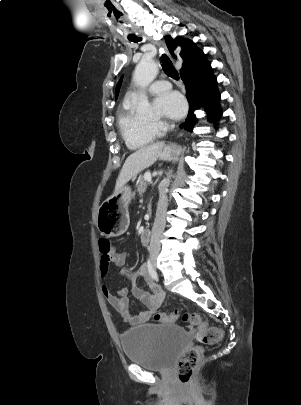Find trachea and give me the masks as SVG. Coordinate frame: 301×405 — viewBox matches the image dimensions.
Segmentation results:
<instances>
[{
  "label": "trachea",
  "mask_w": 301,
  "mask_h": 405,
  "mask_svg": "<svg viewBox=\"0 0 301 405\" xmlns=\"http://www.w3.org/2000/svg\"><path fill=\"white\" fill-rule=\"evenodd\" d=\"M129 41H132L134 43H137L139 41L142 40V38L137 37L135 35H132L130 37H128ZM161 60H162V67L164 72L171 78L178 80L179 79V75L177 70L174 68L171 60L169 59V57L166 54H162L161 56Z\"/></svg>",
  "instance_id": "3493384b"
}]
</instances>
